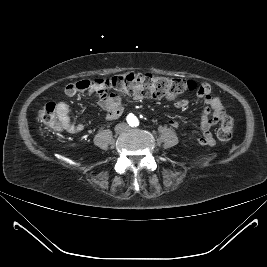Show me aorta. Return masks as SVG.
I'll return each instance as SVG.
<instances>
[{
    "label": "aorta",
    "mask_w": 267,
    "mask_h": 267,
    "mask_svg": "<svg viewBox=\"0 0 267 267\" xmlns=\"http://www.w3.org/2000/svg\"><path fill=\"white\" fill-rule=\"evenodd\" d=\"M130 119L136 121L134 116H131Z\"/></svg>",
    "instance_id": "762f6f07"
}]
</instances>
